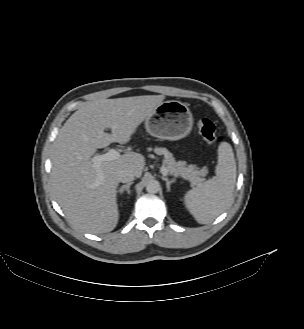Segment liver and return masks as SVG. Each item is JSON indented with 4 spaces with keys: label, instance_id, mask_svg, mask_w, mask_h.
I'll use <instances>...</instances> for the list:
<instances>
[{
    "label": "liver",
    "instance_id": "liver-1",
    "mask_svg": "<svg viewBox=\"0 0 304 329\" xmlns=\"http://www.w3.org/2000/svg\"><path fill=\"white\" fill-rule=\"evenodd\" d=\"M164 98L144 95L99 99L78 109L65 122L53 145L51 185L57 203L73 225L92 234L116 227L118 172L128 169L139 178L145 158L129 152L103 162L97 169L92 156L113 142L127 143ZM106 128L111 134L104 131Z\"/></svg>",
    "mask_w": 304,
    "mask_h": 329
}]
</instances>
